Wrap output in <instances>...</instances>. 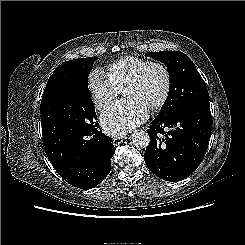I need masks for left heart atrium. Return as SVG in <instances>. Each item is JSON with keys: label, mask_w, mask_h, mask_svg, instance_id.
Wrapping results in <instances>:
<instances>
[{"label": "left heart atrium", "mask_w": 245, "mask_h": 245, "mask_svg": "<svg viewBox=\"0 0 245 245\" xmlns=\"http://www.w3.org/2000/svg\"><path fill=\"white\" fill-rule=\"evenodd\" d=\"M149 107L135 97L125 98L108 107L100 121L106 132L112 135L124 134L144 122Z\"/></svg>", "instance_id": "obj_1"}]
</instances>
